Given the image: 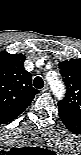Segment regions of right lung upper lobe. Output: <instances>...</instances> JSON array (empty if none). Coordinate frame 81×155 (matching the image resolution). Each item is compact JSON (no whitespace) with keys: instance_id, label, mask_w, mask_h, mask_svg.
<instances>
[{"instance_id":"obj_1","label":"right lung upper lobe","mask_w":81,"mask_h":155,"mask_svg":"<svg viewBox=\"0 0 81 155\" xmlns=\"http://www.w3.org/2000/svg\"><path fill=\"white\" fill-rule=\"evenodd\" d=\"M23 54L0 53V123L19 116L39 92L32 87V75L24 68Z\"/></svg>"}]
</instances>
